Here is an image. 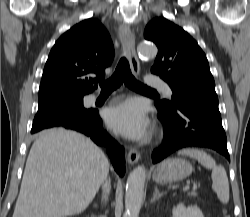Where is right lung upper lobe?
<instances>
[{
  "instance_id": "obj_1",
  "label": "right lung upper lobe",
  "mask_w": 250,
  "mask_h": 217,
  "mask_svg": "<svg viewBox=\"0 0 250 217\" xmlns=\"http://www.w3.org/2000/svg\"><path fill=\"white\" fill-rule=\"evenodd\" d=\"M109 33L96 19H86L64 33L53 46L44 67L38 105L79 99L94 91L114 58ZM90 75H96L91 78Z\"/></svg>"
}]
</instances>
